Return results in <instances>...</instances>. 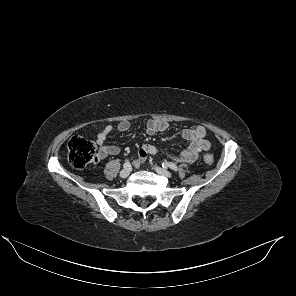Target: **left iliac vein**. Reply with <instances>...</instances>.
Returning <instances> with one entry per match:
<instances>
[{
  "instance_id": "1",
  "label": "left iliac vein",
  "mask_w": 296,
  "mask_h": 296,
  "mask_svg": "<svg viewBox=\"0 0 296 296\" xmlns=\"http://www.w3.org/2000/svg\"><path fill=\"white\" fill-rule=\"evenodd\" d=\"M155 171L162 175V176H165L167 178H170L172 176L171 172H169L168 170L164 169V168H161V167H154Z\"/></svg>"
}]
</instances>
